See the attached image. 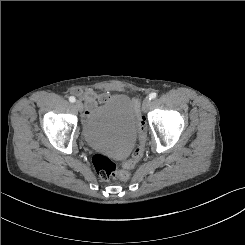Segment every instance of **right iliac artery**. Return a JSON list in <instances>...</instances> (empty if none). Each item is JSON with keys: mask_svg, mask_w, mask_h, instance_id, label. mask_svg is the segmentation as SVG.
Wrapping results in <instances>:
<instances>
[{"mask_svg": "<svg viewBox=\"0 0 245 245\" xmlns=\"http://www.w3.org/2000/svg\"><path fill=\"white\" fill-rule=\"evenodd\" d=\"M75 100H76L75 97H73V96L69 97V101H70V102L74 103Z\"/></svg>", "mask_w": 245, "mask_h": 245, "instance_id": "right-iliac-artery-1", "label": "right iliac artery"}]
</instances>
